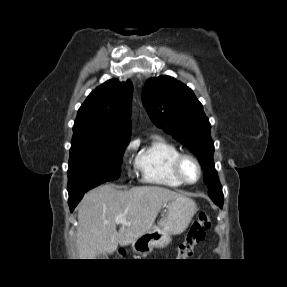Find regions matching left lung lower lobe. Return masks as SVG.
Wrapping results in <instances>:
<instances>
[{
	"instance_id": "obj_1",
	"label": "left lung lower lobe",
	"mask_w": 287,
	"mask_h": 287,
	"mask_svg": "<svg viewBox=\"0 0 287 287\" xmlns=\"http://www.w3.org/2000/svg\"><path fill=\"white\" fill-rule=\"evenodd\" d=\"M223 205H219L220 208H222Z\"/></svg>"
}]
</instances>
